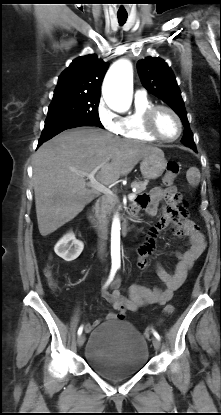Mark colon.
<instances>
[{
	"mask_svg": "<svg viewBox=\"0 0 221 415\" xmlns=\"http://www.w3.org/2000/svg\"><path fill=\"white\" fill-rule=\"evenodd\" d=\"M180 171V164L176 161H169L166 165V172L163 178L164 183L167 186H171L175 178L177 177L178 173ZM186 207L188 208V203L185 201ZM46 275L49 279V282L51 286H55V280L53 277V273L50 267H47L46 269ZM175 308L173 305L168 304L163 309V315L168 316L174 312ZM152 328H148L145 331V335L149 336L151 334Z\"/></svg>",
	"mask_w": 221,
	"mask_h": 415,
	"instance_id": "colon-1",
	"label": "colon"
}]
</instances>
